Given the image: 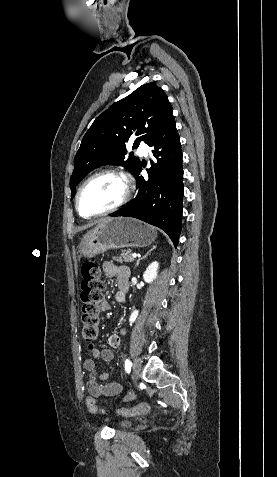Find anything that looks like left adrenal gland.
I'll return each instance as SVG.
<instances>
[{"label": "left adrenal gland", "mask_w": 277, "mask_h": 477, "mask_svg": "<svg viewBox=\"0 0 277 477\" xmlns=\"http://www.w3.org/2000/svg\"><path fill=\"white\" fill-rule=\"evenodd\" d=\"M155 248H156V246H153L142 258L138 259V260H137V263H136V266H138L140 260L145 259V258L150 254V252H152L153 250H155Z\"/></svg>", "instance_id": "left-adrenal-gland-1"}]
</instances>
